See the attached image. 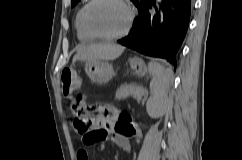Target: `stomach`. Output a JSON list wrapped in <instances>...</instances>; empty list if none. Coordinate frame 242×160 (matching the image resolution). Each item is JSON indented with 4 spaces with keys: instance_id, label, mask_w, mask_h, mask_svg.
I'll list each match as a JSON object with an SVG mask.
<instances>
[{
    "instance_id": "stomach-1",
    "label": "stomach",
    "mask_w": 242,
    "mask_h": 160,
    "mask_svg": "<svg viewBox=\"0 0 242 160\" xmlns=\"http://www.w3.org/2000/svg\"><path fill=\"white\" fill-rule=\"evenodd\" d=\"M130 66L133 73L139 77H143L147 73L145 63L140 58L131 59ZM85 72L94 84H105L114 76L112 65L106 61H87Z\"/></svg>"
}]
</instances>
